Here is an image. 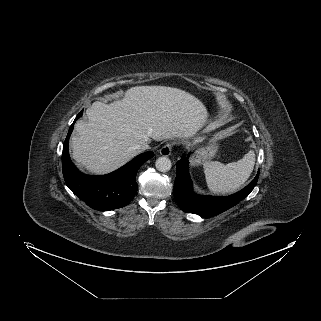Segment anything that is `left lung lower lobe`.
I'll use <instances>...</instances> for the list:
<instances>
[{
    "label": "left lung lower lobe",
    "instance_id": "left-lung-lower-lobe-1",
    "mask_svg": "<svg viewBox=\"0 0 321 321\" xmlns=\"http://www.w3.org/2000/svg\"><path fill=\"white\" fill-rule=\"evenodd\" d=\"M188 158L177 162V175L174 182V197L182 211L203 217L218 215L238 204L247 197L255 187L259 171L255 178L239 192L227 197L198 196L193 192L189 175Z\"/></svg>",
    "mask_w": 321,
    "mask_h": 321
}]
</instances>
